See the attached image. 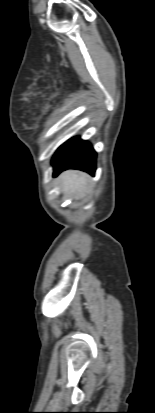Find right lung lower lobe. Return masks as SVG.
<instances>
[{
	"mask_svg": "<svg viewBox=\"0 0 155 413\" xmlns=\"http://www.w3.org/2000/svg\"><path fill=\"white\" fill-rule=\"evenodd\" d=\"M54 176L66 169H79L94 175L96 169V152L87 142L79 137L72 138L62 145L52 160Z\"/></svg>",
	"mask_w": 155,
	"mask_h": 413,
	"instance_id": "obj_1",
	"label": "right lung lower lobe"
}]
</instances>
